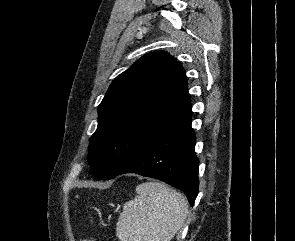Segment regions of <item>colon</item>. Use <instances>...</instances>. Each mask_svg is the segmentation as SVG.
Returning <instances> with one entry per match:
<instances>
[{
  "mask_svg": "<svg viewBox=\"0 0 295 241\" xmlns=\"http://www.w3.org/2000/svg\"><path fill=\"white\" fill-rule=\"evenodd\" d=\"M81 241H95V240H92V239H83Z\"/></svg>",
  "mask_w": 295,
  "mask_h": 241,
  "instance_id": "5ec220e1",
  "label": "colon"
}]
</instances>
